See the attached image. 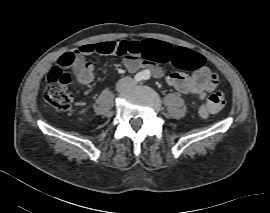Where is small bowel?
Instances as JSON below:
<instances>
[{"mask_svg": "<svg viewBox=\"0 0 270 213\" xmlns=\"http://www.w3.org/2000/svg\"><path fill=\"white\" fill-rule=\"evenodd\" d=\"M104 43H84L78 46L71 69L76 81L81 85H90L94 81V64L87 61L88 56L103 54ZM141 46L150 47L147 58L139 60L135 57H125L123 63L129 71H136L141 67L152 70L155 78L163 75L160 63H168L180 58L179 65L188 62L189 50L175 48L172 45L159 40H147L140 43ZM216 78L206 67L199 68L190 77L181 72H173L167 76V83L185 95L203 96L206 92L216 88Z\"/></svg>", "mask_w": 270, "mask_h": 213, "instance_id": "obj_1", "label": "small bowel"}]
</instances>
